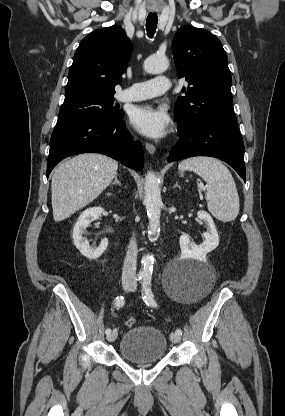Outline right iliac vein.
Masks as SVG:
<instances>
[{
  "mask_svg": "<svg viewBox=\"0 0 285 416\" xmlns=\"http://www.w3.org/2000/svg\"><path fill=\"white\" fill-rule=\"evenodd\" d=\"M132 284H133L132 279H129V278L122 279V285L124 289L129 288ZM117 336H118V332L116 329H114L110 334H108L107 340L109 342H113L117 338Z\"/></svg>",
  "mask_w": 285,
  "mask_h": 416,
  "instance_id": "obj_1",
  "label": "right iliac vein"
}]
</instances>
